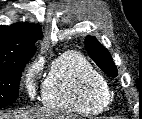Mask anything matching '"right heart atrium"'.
Here are the masks:
<instances>
[{
	"instance_id": "right-heart-atrium-1",
	"label": "right heart atrium",
	"mask_w": 142,
	"mask_h": 119,
	"mask_svg": "<svg viewBox=\"0 0 142 119\" xmlns=\"http://www.w3.org/2000/svg\"><path fill=\"white\" fill-rule=\"evenodd\" d=\"M42 69V61L36 60L29 64L23 75V83L30 97H34L37 89V79Z\"/></svg>"
}]
</instances>
